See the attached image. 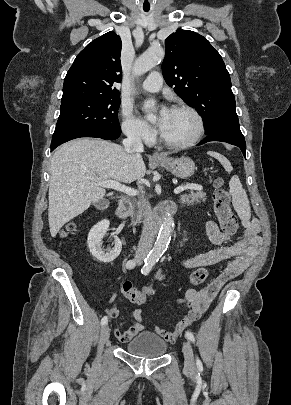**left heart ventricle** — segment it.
Segmentation results:
<instances>
[{
    "instance_id": "left-heart-ventricle-1",
    "label": "left heart ventricle",
    "mask_w": 291,
    "mask_h": 405,
    "mask_svg": "<svg viewBox=\"0 0 291 405\" xmlns=\"http://www.w3.org/2000/svg\"><path fill=\"white\" fill-rule=\"evenodd\" d=\"M196 129V121L189 112L170 110L161 133L168 141L182 143L191 139Z\"/></svg>"
}]
</instances>
